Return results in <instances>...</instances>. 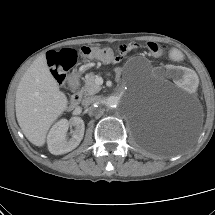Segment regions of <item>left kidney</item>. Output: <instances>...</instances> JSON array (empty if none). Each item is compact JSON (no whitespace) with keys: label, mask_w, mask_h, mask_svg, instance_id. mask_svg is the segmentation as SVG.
I'll use <instances>...</instances> for the list:
<instances>
[{"label":"left kidney","mask_w":215,"mask_h":215,"mask_svg":"<svg viewBox=\"0 0 215 215\" xmlns=\"http://www.w3.org/2000/svg\"><path fill=\"white\" fill-rule=\"evenodd\" d=\"M174 79L182 86L186 92L196 91L200 87V78L185 67H178L174 71Z\"/></svg>","instance_id":"obj_1"}]
</instances>
